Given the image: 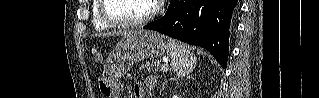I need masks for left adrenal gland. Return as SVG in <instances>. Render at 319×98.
<instances>
[{"instance_id": "obj_1", "label": "left adrenal gland", "mask_w": 319, "mask_h": 98, "mask_svg": "<svg viewBox=\"0 0 319 98\" xmlns=\"http://www.w3.org/2000/svg\"><path fill=\"white\" fill-rule=\"evenodd\" d=\"M169 80H174V78H170ZM169 80H166V81L163 83V87H162V88H164V86H166V84H167V82H168Z\"/></svg>"}]
</instances>
